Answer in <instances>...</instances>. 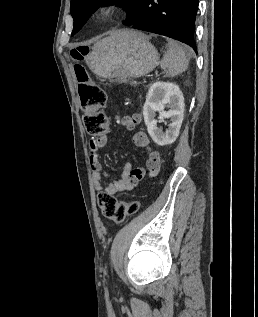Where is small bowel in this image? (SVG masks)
I'll use <instances>...</instances> for the list:
<instances>
[{"instance_id":"1","label":"small bowel","mask_w":258,"mask_h":317,"mask_svg":"<svg viewBox=\"0 0 258 317\" xmlns=\"http://www.w3.org/2000/svg\"><path fill=\"white\" fill-rule=\"evenodd\" d=\"M141 123L140 114H132L119 119V124L127 130H134ZM108 141V137H92L89 141V162L92 170V181L95 189L108 194L129 191L135 188L146 176H155L161 165L159 152L153 147L148 135L139 131L133 136L136 146L142 148L146 155V164L143 168H133L131 163L124 164L120 177L106 184L104 179L110 177L109 173L103 170L100 150Z\"/></svg>"}]
</instances>
